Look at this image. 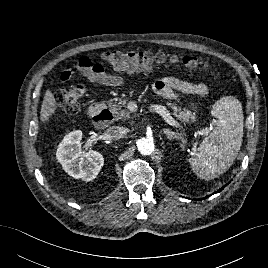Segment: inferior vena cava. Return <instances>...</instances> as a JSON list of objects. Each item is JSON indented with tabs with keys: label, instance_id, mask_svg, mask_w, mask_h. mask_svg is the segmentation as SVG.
<instances>
[{
	"label": "inferior vena cava",
	"instance_id": "1",
	"mask_svg": "<svg viewBox=\"0 0 268 268\" xmlns=\"http://www.w3.org/2000/svg\"><path fill=\"white\" fill-rule=\"evenodd\" d=\"M105 135L109 140H118L123 137L124 130L122 127L112 126L106 130Z\"/></svg>",
	"mask_w": 268,
	"mask_h": 268
}]
</instances>
